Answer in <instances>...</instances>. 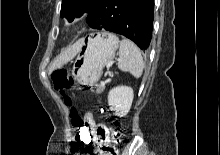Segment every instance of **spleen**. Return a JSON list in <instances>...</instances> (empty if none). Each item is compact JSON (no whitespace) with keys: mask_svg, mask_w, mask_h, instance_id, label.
Returning <instances> with one entry per match:
<instances>
[{"mask_svg":"<svg viewBox=\"0 0 220 155\" xmlns=\"http://www.w3.org/2000/svg\"><path fill=\"white\" fill-rule=\"evenodd\" d=\"M118 68L123 72H129L135 78L142 75L144 62L140 50L129 39H122L119 48Z\"/></svg>","mask_w":220,"mask_h":155,"instance_id":"obj_1","label":"spleen"}]
</instances>
